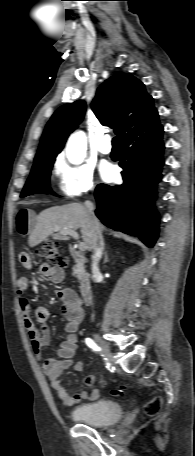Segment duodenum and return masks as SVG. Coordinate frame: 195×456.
I'll list each match as a JSON object with an SVG mask.
<instances>
[{"label": "duodenum", "mask_w": 195, "mask_h": 456, "mask_svg": "<svg viewBox=\"0 0 195 456\" xmlns=\"http://www.w3.org/2000/svg\"><path fill=\"white\" fill-rule=\"evenodd\" d=\"M70 254L78 265L84 264L85 258L78 251L71 249ZM80 291H81V296H82L83 302L85 304H89L92 300V289H91L90 282L87 279L82 280L81 285H80Z\"/></svg>", "instance_id": "410a0bca"}]
</instances>
